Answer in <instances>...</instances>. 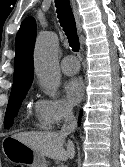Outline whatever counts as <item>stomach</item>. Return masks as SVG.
Masks as SVG:
<instances>
[{"mask_svg": "<svg viewBox=\"0 0 125 167\" xmlns=\"http://www.w3.org/2000/svg\"><path fill=\"white\" fill-rule=\"evenodd\" d=\"M3 152L7 159L15 164L24 163L29 167H47L45 156L13 137L4 141Z\"/></svg>", "mask_w": 125, "mask_h": 167, "instance_id": "stomach-1", "label": "stomach"}]
</instances>
